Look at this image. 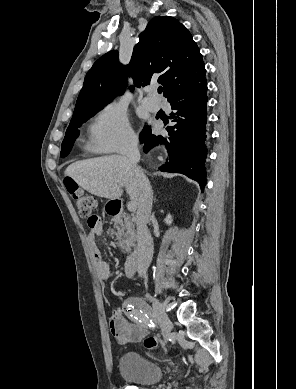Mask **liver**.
<instances>
[{"label": "liver", "mask_w": 296, "mask_h": 389, "mask_svg": "<svg viewBox=\"0 0 296 389\" xmlns=\"http://www.w3.org/2000/svg\"><path fill=\"white\" fill-rule=\"evenodd\" d=\"M64 174L89 193L107 199L120 198L125 187L131 200L138 206V180L125 156L111 155L77 161L69 165Z\"/></svg>", "instance_id": "obj_1"}]
</instances>
